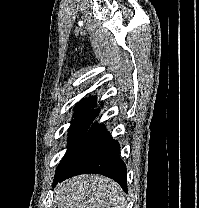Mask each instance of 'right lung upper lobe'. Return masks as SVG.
<instances>
[{
    "label": "right lung upper lobe",
    "instance_id": "obj_1",
    "mask_svg": "<svg viewBox=\"0 0 199 208\" xmlns=\"http://www.w3.org/2000/svg\"><path fill=\"white\" fill-rule=\"evenodd\" d=\"M96 103V97H90L88 99L82 100L80 103H77L74 107L75 111L81 110H90Z\"/></svg>",
    "mask_w": 199,
    "mask_h": 208
}]
</instances>
